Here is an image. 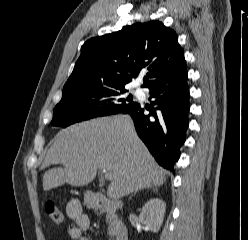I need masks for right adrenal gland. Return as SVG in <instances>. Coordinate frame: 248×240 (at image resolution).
Segmentation results:
<instances>
[{
    "instance_id": "1",
    "label": "right adrenal gland",
    "mask_w": 248,
    "mask_h": 240,
    "mask_svg": "<svg viewBox=\"0 0 248 240\" xmlns=\"http://www.w3.org/2000/svg\"><path fill=\"white\" fill-rule=\"evenodd\" d=\"M151 189H152V191L153 192H158V188L156 187V186H154V187H150ZM147 189H149V187H147ZM139 190H141V189H137L135 192H134V194H136V192H138ZM133 196V195H132ZM131 196V197H132ZM131 197L129 198V199H131Z\"/></svg>"
}]
</instances>
